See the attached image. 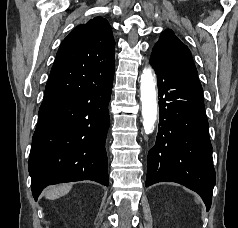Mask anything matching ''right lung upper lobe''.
Here are the masks:
<instances>
[{
	"mask_svg": "<svg viewBox=\"0 0 238 228\" xmlns=\"http://www.w3.org/2000/svg\"><path fill=\"white\" fill-rule=\"evenodd\" d=\"M114 47L111 27L102 17L74 28L58 49L43 101L92 88L112 76Z\"/></svg>",
	"mask_w": 238,
	"mask_h": 228,
	"instance_id": "cb5924a9",
	"label": "right lung upper lobe"
}]
</instances>
